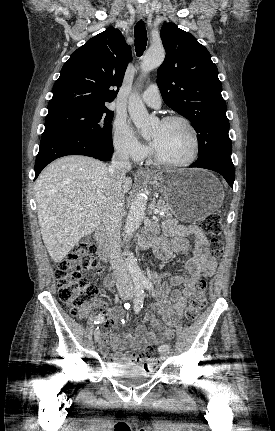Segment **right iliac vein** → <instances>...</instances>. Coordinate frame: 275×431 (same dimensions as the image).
<instances>
[{
	"label": "right iliac vein",
	"instance_id": "63e3f726",
	"mask_svg": "<svg viewBox=\"0 0 275 431\" xmlns=\"http://www.w3.org/2000/svg\"><path fill=\"white\" fill-rule=\"evenodd\" d=\"M121 297L124 300L130 299V295H128V294H122ZM94 340H95V342H98L100 340V330H98V329L95 330V332H94Z\"/></svg>",
	"mask_w": 275,
	"mask_h": 431
}]
</instances>
